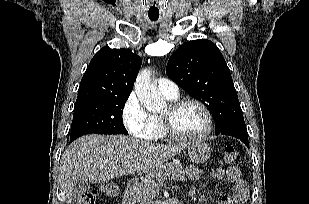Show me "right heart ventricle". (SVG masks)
Returning <instances> with one entry per match:
<instances>
[{
	"label": "right heart ventricle",
	"instance_id": "e07e8e85",
	"mask_svg": "<svg viewBox=\"0 0 309 204\" xmlns=\"http://www.w3.org/2000/svg\"><path fill=\"white\" fill-rule=\"evenodd\" d=\"M166 98L169 99V100L176 99V98H169V97H166ZM150 119H151V121L154 125V135H153L152 139H161V138L165 137L166 133L164 131L160 116L155 115V114H151Z\"/></svg>",
	"mask_w": 309,
	"mask_h": 204
}]
</instances>
